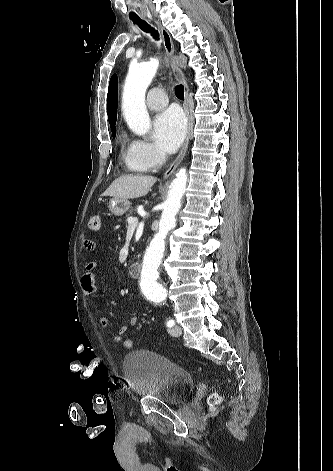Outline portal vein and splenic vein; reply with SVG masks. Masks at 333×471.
I'll return each instance as SVG.
<instances>
[{"mask_svg": "<svg viewBox=\"0 0 333 471\" xmlns=\"http://www.w3.org/2000/svg\"><path fill=\"white\" fill-rule=\"evenodd\" d=\"M127 222L129 225H137L138 224V218L136 217H129L127 219Z\"/></svg>", "mask_w": 333, "mask_h": 471, "instance_id": "18ae733b", "label": "portal vein and splenic vein"}]
</instances>
